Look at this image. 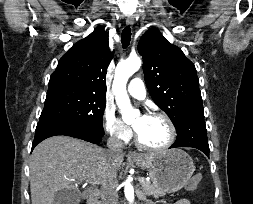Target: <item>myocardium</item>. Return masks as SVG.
Here are the masks:
<instances>
[{
  "label": "myocardium",
  "mask_w": 253,
  "mask_h": 204,
  "mask_svg": "<svg viewBox=\"0 0 253 204\" xmlns=\"http://www.w3.org/2000/svg\"><path fill=\"white\" fill-rule=\"evenodd\" d=\"M147 116L158 117V118L163 119L166 122V124L169 128V133H170L169 139L167 140V142L165 144H163L161 146H150L142 141V139L138 135L137 131L135 130V140H136L137 145L145 150H148V151H164V150L170 148L173 145V143L175 142L176 135H177L176 128H175V125L172 122V120L166 114L161 113V112H156V111L148 113Z\"/></svg>",
  "instance_id": "obj_1"
}]
</instances>
